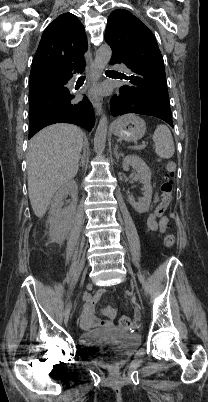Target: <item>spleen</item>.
Wrapping results in <instances>:
<instances>
[{"mask_svg":"<svg viewBox=\"0 0 208 402\" xmlns=\"http://www.w3.org/2000/svg\"><path fill=\"white\" fill-rule=\"evenodd\" d=\"M153 142H155V152L160 158H172L174 150V142L172 134L167 126H157L153 134Z\"/></svg>","mask_w":208,"mask_h":402,"instance_id":"spleen-1","label":"spleen"}]
</instances>
